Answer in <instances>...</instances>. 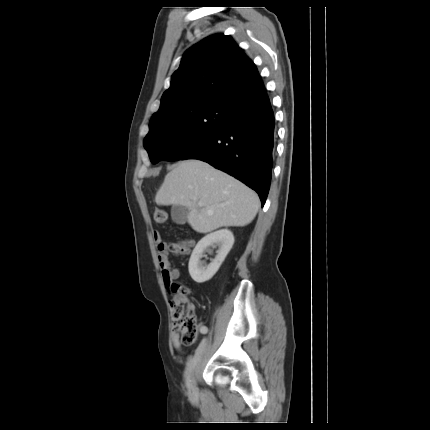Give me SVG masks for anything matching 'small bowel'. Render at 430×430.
<instances>
[{
  "instance_id": "c3829d8e",
  "label": "small bowel",
  "mask_w": 430,
  "mask_h": 430,
  "mask_svg": "<svg viewBox=\"0 0 430 430\" xmlns=\"http://www.w3.org/2000/svg\"><path fill=\"white\" fill-rule=\"evenodd\" d=\"M154 239L157 243V248L159 250L158 253V263L160 265L161 271H162V281L164 282V285L167 290H172L175 285V280L180 277V270L177 268H168V258L165 256L163 251L166 248V243L163 241L161 235L159 233L154 234ZM199 332L201 334H206L208 332V327L206 325H201L199 327ZM171 340L173 347L176 350H181V343L179 341V335L175 330L171 333Z\"/></svg>"
}]
</instances>
